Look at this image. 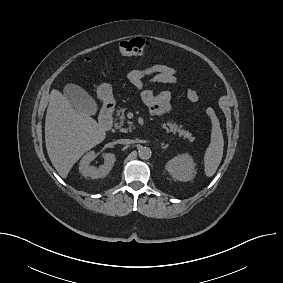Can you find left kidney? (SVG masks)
Instances as JSON below:
<instances>
[{"label":"left kidney","instance_id":"1","mask_svg":"<svg viewBox=\"0 0 283 283\" xmlns=\"http://www.w3.org/2000/svg\"><path fill=\"white\" fill-rule=\"evenodd\" d=\"M166 170L178 181H189L195 176V164L192 157L187 154H181L166 163Z\"/></svg>","mask_w":283,"mask_h":283}]
</instances>
